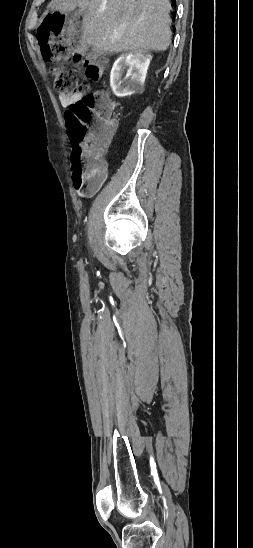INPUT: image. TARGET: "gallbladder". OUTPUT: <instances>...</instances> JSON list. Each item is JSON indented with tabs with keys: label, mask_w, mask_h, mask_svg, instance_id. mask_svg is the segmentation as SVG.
<instances>
[{
	"label": "gallbladder",
	"mask_w": 253,
	"mask_h": 548,
	"mask_svg": "<svg viewBox=\"0 0 253 548\" xmlns=\"http://www.w3.org/2000/svg\"><path fill=\"white\" fill-rule=\"evenodd\" d=\"M81 14H82L81 11H75V12H74V15H75V16H80Z\"/></svg>",
	"instance_id": "bac80fb5"
}]
</instances>
